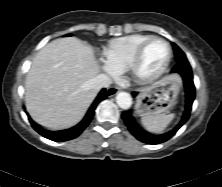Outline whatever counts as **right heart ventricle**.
<instances>
[{
  "label": "right heart ventricle",
  "instance_id": "e07e8e85",
  "mask_svg": "<svg viewBox=\"0 0 222 187\" xmlns=\"http://www.w3.org/2000/svg\"><path fill=\"white\" fill-rule=\"evenodd\" d=\"M150 35L133 34L110 40L103 49V55L111 66L117 71H126L138 48Z\"/></svg>",
  "mask_w": 222,
  "mask_h": 187
}]
</instances>
